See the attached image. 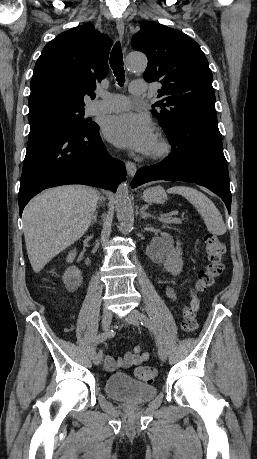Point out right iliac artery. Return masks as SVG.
<instances>
[{
	"label": "right iliac artery",
	"instance_id": "obj_1",
	"mask_svg": "<svg viewBox=\"0 0 257 459\" xmlns=\"http://www.w3.org/2000/svg\"><path fill=\"white\" fill-rule=\"evenodd\" d=\"M112 336H113V331H111V332H107L106 331V332H102L99 335H97L96 338L94 339V344H93V347L91 349L92 355L96 354V345L106 341L108 338H110ZM99 354L102 355V352L100 351Z\"/></svg>",
	"mask_w": 257,
	"mask_h": 459
}]
</instances>
